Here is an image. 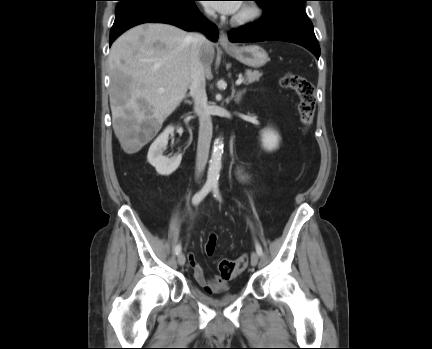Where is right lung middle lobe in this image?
I'll list each match as a JSON object with an SVG mask.
<instances>
[{
    "label": "right lung middle lobe",
    "instance_id": "obj_1",
    "mask_svg": "<svg viewBox=\"0 0 432 349\" xmlns=\"http://www.w3.org/2000/svg\"><path fill=\"white\" fill-rule=\"evenodd\" d=\"M120 2H124V1H127V0H119Z\"/></svg>",
    "mask_w": 432,
    "mask_h": 349
}]
</instances>
